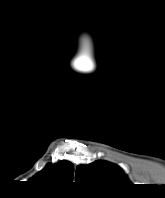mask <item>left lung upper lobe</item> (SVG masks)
I'll use <instances>...</instances> for the list:
<instances>
[{
  "label": "left lung upper lobe",
  "mask_w": 165,
  "mask_h": 198,
  "mask_svg": "<svg viewBox=\"0 0 165 198\" xmlns=\"http://www.w3.org/2000/svg\"><path fill=\"white\" fill-rule=\"evenodd\" d=\"M75 180L80 184L105 190H114L130 184L120 167L102 160L78 166Z\"/></svg>",
  "instance_id": "5c2ea615"
}]
</instances>
